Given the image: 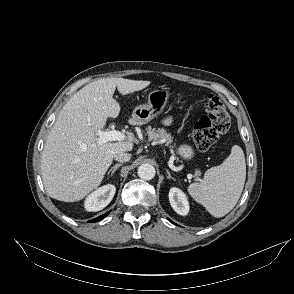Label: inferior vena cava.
<instances>
[{
  "label": "inferior vena cava",
  "mask_w": 294,
  "mask_h": 294,
  "mask_svg": "<svg viewBox=\"0 0 294 294\" xmlns=\"http://www.w3.org/2000/svg\"><path fill=\"white\" fill-rule=\"evenodd\" d=\"M114 159L118 162H127L131 159V154L126 152H118L114 155Z\"/></svg>",
  "instance_id": "obj_1"
}]
</instances>
